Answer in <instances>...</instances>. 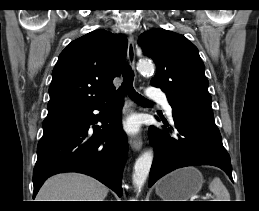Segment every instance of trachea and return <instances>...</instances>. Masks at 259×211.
<instances>
[{
    "mask_svg": "<svg viewBox=\"0 0 259 211\" xmlns=\"http://www.w3.org/2000/svg\"><path fill=\"white\" fill-rule=\"evenodd\" d=\"M134 73L129 66L123 71V83L119 88V92L123 95H129L135 102L140 104H152V102L142 95L138 94L133 87Z\"/></svg>",
    "mask_w": 259,
    "mask_h": 211,
    "instance_id": "trachea-1",
    "label": "trachea"
}]
</instances>
